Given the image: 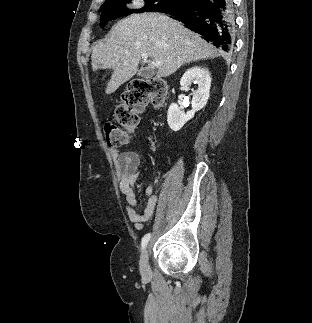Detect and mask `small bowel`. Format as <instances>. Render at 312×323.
<instances>
[{"label":"small bowel","instance_id":"c3829d8e","mask_svg":"<svg viewBox=\"0 0 312 323\" xmlns=\"http://www.w3.org/2000/svg\"><path fill=\"white\" fill-rule=\"evenodd\" d=\"M111 156L118 176L120 191L125 195L126 215L137 229H141L153 220L158 205V196L154 192V188L149 186L146 190L147 205L142 213H138L136 211L138 202L135 183L140 172L142 160L135 152L119 151L117 149L111 150Z\"/></svg>","mask_w":312,"mask_h":323}]
</instances>
